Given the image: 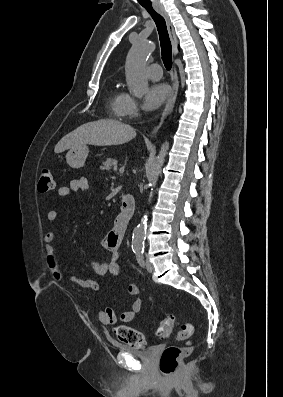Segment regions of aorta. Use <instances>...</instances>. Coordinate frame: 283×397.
<instances>
[{
    "instance_id": "obj_1",
    "label": "aorta",
    "mask_w": 283,
    "mask_h": 397,
    "mask_svg": "<svg viewBox=\"0 0 283 397\" xmlns=\"http://www.w3.org/2000/svg\"><path fill=\"white\" fill-rule=\"evenodd\" d=\"M154 50V45L148 41H139L135 43L130 49L125 64L126 82L130 92L138 98L143 97L148 92V80L145 72L146 62L151 52ZM169 149V143L165 141L160 149L159 155L156 158V164L152 174L150 186L157 183L158 177L161 173L162 166L165 161L166 153ZM153 198V189L148 197V203H151ZM147 228V213L141 218L140 223L134 228L132 234V249L134 251H141L144 247V239Z\"/></svg>"
}]
</instances>
